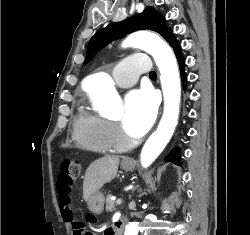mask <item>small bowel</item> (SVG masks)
Here are the masks:
<instances>
[{
	"mask_svg": "<svg viewBox=\"0 0 250 235\" xmlns=\"http://www.w3.org/2000/svg\"><path fill=\"white\" fill-rule=\"evenodd\" d=\"M58 193V206L62 218L66 222H71L72 211H71V192H64L61 189L57 188Z\"/></svg>",
	"mask_w": 250,
	"mask_h": 235,
	"instance_id": "c3829d8e",
	"label": "small bowel"
}]
</instances>
